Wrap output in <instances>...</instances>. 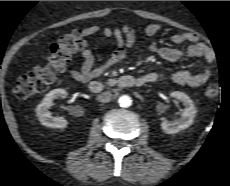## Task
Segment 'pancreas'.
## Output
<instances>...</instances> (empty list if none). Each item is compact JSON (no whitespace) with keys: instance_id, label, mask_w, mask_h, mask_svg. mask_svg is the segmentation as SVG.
<instances>
[{"instance_id":"pancreas-1","label":"pancreas","mask_w":230,"mask_h":186,"mask_svg":"<svg viewBox=\"0 0 230 186\" xmlns=\"http://www.w3.org/2000/svg\"><path fill=\"white\" fill-rule=\"evenodd\" d=\"M106 83H107L108 85L112 86V85H115V84L117 83V80H115V79H109V80H107Z\"/></svg>"}]
</instances>
